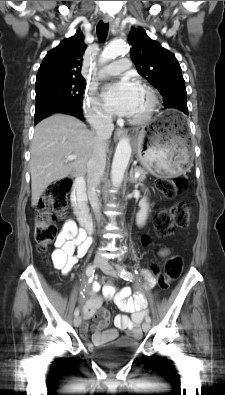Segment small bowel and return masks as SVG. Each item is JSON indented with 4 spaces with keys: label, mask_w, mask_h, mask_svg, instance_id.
Segmentation results:
<instances>
[{
    "label": "small bowel",
    "mask_w": 225,
    "mask_h": 395,
    "mask_svg": "<svg viewBox=\"0 0 225 395\" xmlns=\"http://www.w3.org/2000/svg\"><path fill=\"white\" fill-rule=\"evenodd\" d=\"M92 244L91 237L86 231L78 230L72 221L66 222L56 240V249L52 253V260L55 267L62 270L63 273H69L77 264L78 260L86 255ZM168 254L167 249L160 251L161 256ZM143 276L148 286L155 284V277L151 275V270H143ZM117 285H104L103 294L106 298L114 297L118 308L124 312L131 313V317L125 314H119L114 319L115 328H108L110 324V315L100 309L101 299L98 296L100 284L94 282L91 286V298L83 305L82 315L84 323L81 327L83 338L88 336V321L97 316L98 321L95 325V331L92 335L94 345H102L117 338L118 330L126 331L135 339L141 337L140 322L144 316L146 300L142 294L131 296L129 288H122L116 292Z\"/></svg>",
    "instance_id": "small-bowel-1"
}]
</instances>
